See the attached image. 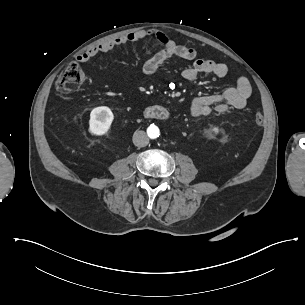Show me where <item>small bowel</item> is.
Instances as JSON below:
<instances>
[{
	"mask_svg": "<svg viewBox=\"0 0 305 305\" xmlns=\"http://www.w3.org/2000/svg\"><path fill=\"white\" fill-rule=\"evenodd\" d=\"M151 38L158 41L162 45V49L143 64L142 72L146 76L155 74L163 63L173 57L192 61V65L182 73L183 79L189 82L194 81L202 73L213 74L218 78H224L229 73V69L224 63L198 57L195 49L175 43L162 31L140 30L126 33L123 35V45ZM119 45V40L110 38L86 51L79 52L77 58L81 62L90 61L96 56L111 51L113 47H119ZM251 94L252 87L250 82L247 78L241 76L234 86L228 87L220 93L195 97L190 103L189 110L194 117H204L215 111L221 112L229 108L243 109Z\"/></svg>",
	"mask_w": 305,
	"mask_h": 305,
	"instance_id": "c3829d8e",
	"label": "small bowel"
}]
</instances>
